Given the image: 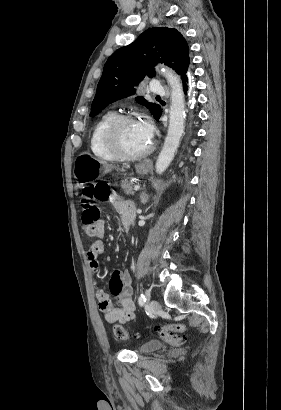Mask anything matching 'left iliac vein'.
<instances>
[{
	"mask_svg": "<svg viewBox=\"0 0 281 410\" xmlns=\"http://www.w3.org/2000/svg\"><path fill=\"white\" fill-rule=\"evenodd\" d=\"M147 297H148V299H149V294L147 293ZM148 306H149V309H150V311L151 312H156V311H158L159 309H160V304H159V302L158 301H156V300H149V302H148Z\"/></svg>",
	"mask_w": 281,
	"mask_h": 410,
	"instance_id": "obj_1",
	"label": "left iliac vein"
}]
</instances>
